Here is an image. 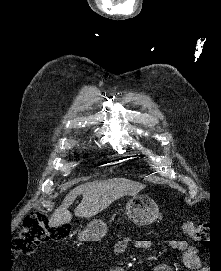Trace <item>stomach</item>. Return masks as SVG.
I'll return each mask as SVG.
<instances>
[{"label":"stomach","mask_w":221,"mask_h":271,"mask_svg":"<svg viewBox=\"0 0 221 271\" xmlns=\"http://www.w3.org/2000/svg\"><path fill=\"white\" fill-rule=\"evenodd\" d=\"M154 197H133L126 205V211L134 223L137 225H148L160 212L158 202H154ZM107 231V225L100 219H93L88 223L85 230L79 233V238H87L88 241H98Z\"/></svg>","instance_id":"1"}]
</instances>
